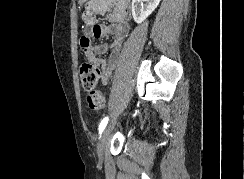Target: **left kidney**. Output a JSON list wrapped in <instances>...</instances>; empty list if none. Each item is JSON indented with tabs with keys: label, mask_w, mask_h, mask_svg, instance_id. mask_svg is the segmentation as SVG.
Segmentation results:
<instances>
[{
	"label": "left kidney",
	"mask_w": 244,
	"mask_h": 179,
	"mask_svg": "<svg viewBox=\"0 0 244 179\" xmlns=\"http://www.w3.org/2000/svg\"><path fill=\"white\" fill-rule=\"evenodd\" d=\"M161 0H132V16L136 24H142L155 8L159 6Z\"/></svg>",
	"instance_id": "left-kidney-1"
}]
</instances>
